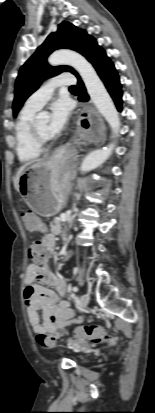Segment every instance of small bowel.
Instances as JSON below:
<instances>
[{
    "mask_svg": "<svg viewBox=\"0 0 155 413\" xmlns=\"http://www.w3.org/2000/svg\"><path fill=\"white\" fill-rule=\"evenodd\" d=\"M23 226L36 231L42 226L40 218H34L32 209L23 212ZM47 251L51 252L55 246L52 234H47L42 240ZM24 298L30 325L38 337L47 336L58 339L63 335L64 329L74 322V312L70 303L62 297L66 293L65 280L54 274L46 263H31L25 275ZM44 284L40 285L36 282ZM42 313V320L39 313Z\"/></svg>",
    "mask_w": 155,
    "mask_h": 413,
    "instance_id": "obj_1",
    "label": "small bowel"
}]
</instances>
